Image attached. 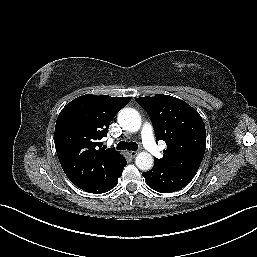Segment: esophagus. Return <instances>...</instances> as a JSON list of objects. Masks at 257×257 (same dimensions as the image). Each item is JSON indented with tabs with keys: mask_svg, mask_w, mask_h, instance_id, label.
<instances>
[{
	"mask_svg": "<svg viewBox=\"0 0 257 257\" xmlns=\"http://www.w3.org/2000/svg\"><path fill=\"white\" fill-rule=\"evenodd\" d=\"M128 154L130 157L134 158L137 155V151H129Z\"/></svg>",
	"mask_w": 257,
	"mask_h": 257,
	"instance_id": "1",
	"label": "esophagus"
}]
</instances>
